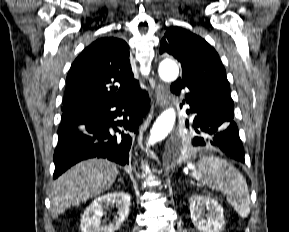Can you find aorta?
Wrapping results in <instances>:
<instances>
[{"label":"aorta","mask_w":289,"mask_h":232,"mask_svg":"<svg viewBox=\"0 0 289 232\" xmlns=\"http://www.w3.org/2000/svg\"><path fill=\"white\" fill-rule=\"evenodd\" d=\"M159 76L166 82L175 81L179 75V68L174 61L164 60L159 65ZM176 119V113L173 108L165 110L154 123L147 145H154L163 140L172 130ZM149 171L146 167V172Z\"/></svg>","instance_id":"obj_1"}]
</instances>
